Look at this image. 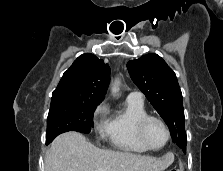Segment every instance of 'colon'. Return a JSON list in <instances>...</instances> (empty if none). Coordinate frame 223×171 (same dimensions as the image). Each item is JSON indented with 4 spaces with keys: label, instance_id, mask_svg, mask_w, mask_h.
Segmentation results:
<instances>
[{
    "label": "colon",
    "instance_id": "colon-1",
    "mask_svg": "<svg viewBox=\"0 0 223 171\" xmlns=\"http://www.w3.org/2000/svg\"><path fill=\"white\" fill-rule=\"evenodd\" d=\"M171 171H179V170H171Z\"/></svg>",
    "mask_w": 223,
    "mask_h": 171
}]
</instances>
